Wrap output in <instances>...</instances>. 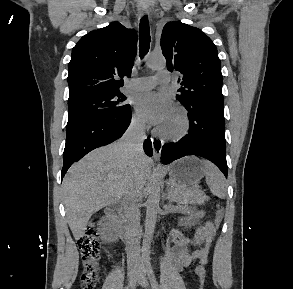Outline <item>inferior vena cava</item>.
Masks as SVG:
<instances>
[{
  "mask_svg": "<svg viewBox=\"0 0 293 289\" xmlns=\"http://www.w3.org/2000/svg\"><path fill=\"white\" fill-rule=\"evenodd\" d=\"M146 138L145 124L142 121H134L130 124L124 136L122 143L129 154L140 158L143 152V142ZM142 197V185L137 178L129 181L123 195L122 204L126 211L128 241H127V258L133 263L140 260V211L139 204Z\"/></svg>",
  "mask_w": 293,
  "mask_h": 289,
  "instance_id": "inferior-vena-cava-1",
  "label": "inferior vena cava"
}]
</instances>
